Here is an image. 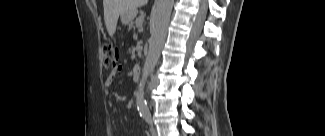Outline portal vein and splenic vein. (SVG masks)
Masks as SVG:
<instances>
[{
  "label": "portal vein and splenic vein",
  "mask_w": 325,
  "mask_h": 136,
  "mask_svg": "<svg viewBox=\"0 0 325 136\" xmlns=\"http://www.w3.org/2000/svg\"><path fill=\"white\" fill-rule=\"evenodd\" d=\"M143 20H144V17H143V16L140 17V18L137 20V21H138V25L142 24Z\"/></svg>",
  "instance_id": "1"
}]
</instances>
